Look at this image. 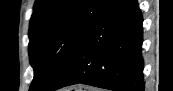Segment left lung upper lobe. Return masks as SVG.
Returning a JSON list of instances; mask_svg holds the SVG:
<instances>
[{
	"label": "left lung upper lobe",
	"instance_id": "left-lung-upper-lobe-1",
	"mask_svg": "<svg viewBox=\"0 0 173 91\" xmlns=\"http://www.w3.org/2000/svg\"><path fill=\"white\" fill-rule=\"evenodd\" d=\"M113 0H36L29 28L34 78L29 91L54 87L75 51Z\"/></svg>",
	"mask_w": 173,
	"mask_h": 91
}]
</instances>
